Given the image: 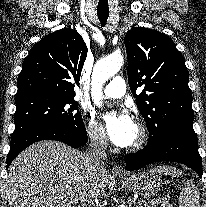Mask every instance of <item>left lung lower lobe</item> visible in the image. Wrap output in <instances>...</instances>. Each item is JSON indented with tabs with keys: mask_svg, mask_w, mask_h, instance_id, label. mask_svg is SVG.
Masks as SVG:
<instances>
[{
	"mask_svg": "<svg viewBox=\"0 0 206 207\" xmlns=\"http://www.w3.org/2000/svg\"><path fill=\"white\" fill-rule=\"evenodd\" d=\"M126 170L133 171L150 163L173 161L185 164L202 176V160L198 152L197 137L193 128L173 130L155 145L124 157Z\"/></svg>",
	"mask_w": 206,
	"mask_h": 207,
	"instance_id": "1",
	"label": "left lung lower lobe"
}]
</instances>
